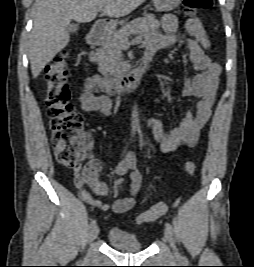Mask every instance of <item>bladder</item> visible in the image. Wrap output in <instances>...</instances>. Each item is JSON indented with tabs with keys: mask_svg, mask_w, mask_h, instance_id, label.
Here are the masks:
<instances>
[{
	"mask_svg": "<svg viewBox=\"0 0 254 267\" xmlns=\"http://www.w3.org/2000/svg\"><path fill=\"white\" fill-rule=\"evenodd\" d=\"M107 239L109 244L119 251L138 252L143 249V243L136 235L117 229L110 230Z\"/></svg>",
	"mask_w": 254,
	"mask_h": 267,
	"instance_id": "1",
	"label": "bladder"
}]
</instances>
